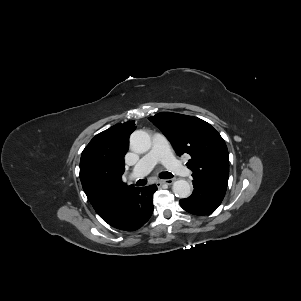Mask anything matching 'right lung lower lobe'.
<instances>
[{
	"instance_id": "obj_1",
	"label": "right lung lower lobe",
	"mask_w": 301,
	"mask_h": 301,
	"mask_svg": "<svg viewBox=\"0 0 301 301\" xmlns=\"http://www.w3.org/2000/svg\"><path fill=\"white\" fill-rule=\"evenodd\" d=\"M156 190V185L131 189L115 216L107 223L124 231H134L143 226L153 213L152 196Z\"/></svg>"
}]
</instances>
